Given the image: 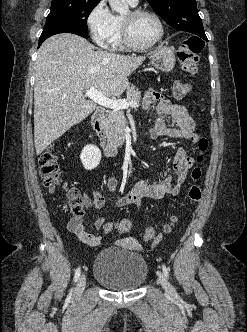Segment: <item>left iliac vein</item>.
I'll return each instance as SVG.
<instances>
[{
    "label": "left iliac vein",
    "mask_w": 247,
    "mask_h": 332,
    "mask_svg": "<svg viewBox=\"0 0 247 332\" xmlns=\"http://www.w3.org/2000/svg\"><path fill=\"white\" fill-rule=\"evenodd\" d=\"M158 280L165 292L169 295H173L174 293V288L173 286L168 282L166 279L165 275L161 272L158 271Z\"/></svg>",
    "instance_id": "obj_1"
}]
</instances>
